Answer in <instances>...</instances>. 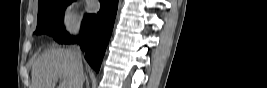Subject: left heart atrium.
Instances as JSON below:
<instances>
[{"mask_svg":"<svg viewBox=\"0 0 267 88\" xmlns=\"http://www.w3.org/2000/svg\"><path fill=\"white\" fill-rule=\"evenodd\" d=\"M91 8L94 10L96 8V6L95 5H92Z\"/></svg>","mask_w":267,"mask_h":88,"instance_id":"obj_1","label":"left heart atrium"}]
</instances>
